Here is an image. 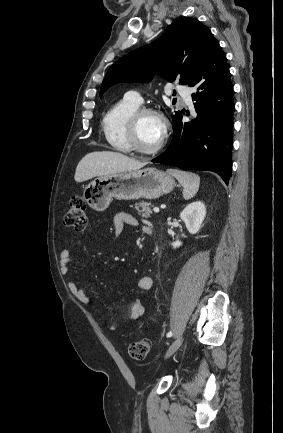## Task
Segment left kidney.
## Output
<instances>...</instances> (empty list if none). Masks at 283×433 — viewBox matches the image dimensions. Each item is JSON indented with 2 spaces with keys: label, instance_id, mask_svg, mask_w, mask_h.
Returning <instances> with one entry per match:
<instances>
[{
  "label": "left kidney",
  "instance_id": "5707ae66",
  "mask_svg": "<svg viewBox=\"0 0 283 433\" xmlns=\"http://www.w3.org/2000/svg\"><path fill=\"white\" fill-rule=\"evenodd\" d=\"M206 215V207L201 201H196L188 204L180 213V218L184 221L186 228L190 234H196L202 225ZM173 248H178L182 242L177 240L171 244Z\"/></svg>",
  "mask_w": 283,
  "mask_h": 433
}]
</instances>
